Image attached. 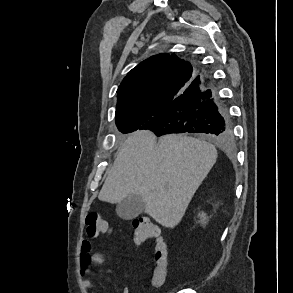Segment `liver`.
Returning <instances> with one entry per match:
<instances>
[{"label": "liver", "instance_id": "6515ba94", "mask_svg": "<svg viewBox=\"0 0 293 293\" xmlns=\"http://www.w3.org/2000/svg\"><path fill=\"white\" fill-rule=\"evenodd\" d=\"M216 159V148L203 140L169 134L157 142L153 132L138 130L119 149L98 198L115 204L139 195L146 214L174 228Z\"/></svg>", "mask_w": 293, "mask_h": 293}]
</instances>
